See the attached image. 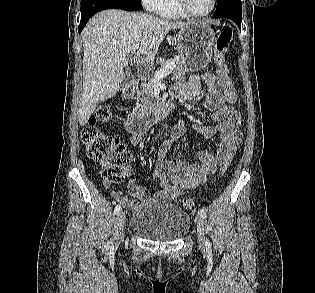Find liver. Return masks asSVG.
<instances>
[{
    "label": "liver",
    "instance_id": "1",
    "mask_svg": "<svg viewBox=\"0 0 315 293\" xmlns=\"http://www.w3.org/2000/svg\"><path fill=\"white\" fill-rule=\"evenodd\" d=\"M191 22L160 19L142 12L109 9L93 17L82 33L83 92L78 118L84 126L99 102L113 97L125 78L129 55L138 44L137 56L152 61L166 34Z\"/></svg>",
    "mask_w": 315,
    "mask_h": 293
}]
</instances>
